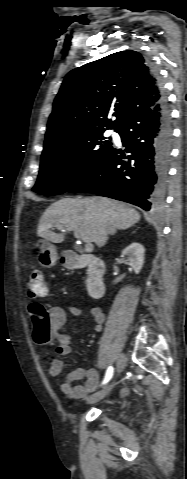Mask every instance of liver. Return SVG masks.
Here are the masks:
<instances>
[{
  "label": "liver",
  "instance_id": "liver-1",
  "mask_svg": "<svg viewBox=\"0 0 187 479\" xmlns=\"http://www.w3.org/2000/svg\"><path fill=\"white\" fill-rule=\"evenodd\" d=\"M140 220V214L122 202L105 197L63 198L51 204L39 220L37 235L45 241L62 243L63 233L52 227L73 231L84 242L103 247L108 234L130 228Z\"/></svg>",
  "mask_w": 187,
  "mask_h": 479
}]
</instances>
